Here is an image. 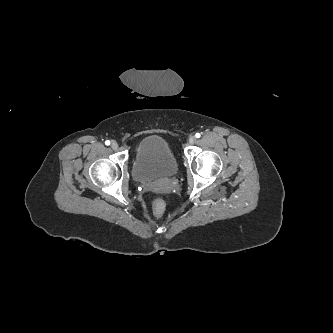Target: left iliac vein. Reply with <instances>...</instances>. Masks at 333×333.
I'll use <instances>...</instances> for the list:
<instances>
[{"mask_svg": "<svg viewBox=\"0 0 333 333\" xmlns=\"http://www.w3.org/2000/svg\"><path fill=\"white\" fill-rule=\"evenodd\" d=\"M195 141H196V137L195 136L192 135V136L189 137V143L190 144H194Z\"/></svg>", "mask_w": 333, "mask_h": 333, "instance_id": "4c4485c4", "label": "left iliac vein"}]
</instances>
